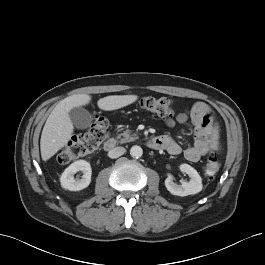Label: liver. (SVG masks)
<instances>
[{"label": "liver", "mask_w": 265, "mask_h": 265, "mask_svg": "<svg viewBox=\"0 0 265 265\" xmlns=\"http://www.w3.org/2000/svg\"><path fill=\"white\" fill-rule=\"evenodd\" d=\"M137 95H111L98 100L100 109L111 111L134 103ZM91 96L77 94L66 97L54 108L46 120L41 134L40 150L44 161L49 160L70 140L74 131L69 112L71 109L89 104Z\"/></svg>", "instance_id": "obj_1"}]
</instances>
